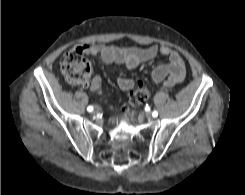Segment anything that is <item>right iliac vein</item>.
Segmentation results:
<instances>
[{
	"label": "right iliac vein",
	"instance_id": "1",
	"mask_svg": "<svg viewBox=\"0 0 245 195\" xmlns=\"http://www.w3.org/2000/svg\"><path fill=\"white\" fill-rule=\"evenodd\" d=\"M99 112V108L98 107H95L94 111H93V114H97Z\"/></svg>",
	"mask_w": 245,
	"mask_h": 195
}]
</instances>
